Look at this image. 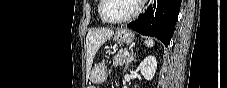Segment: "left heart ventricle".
I'll return each mask as SVG.
<instances>
[{
	"label": "left heart ventricle",
	"instance_id": "b2bd125f",
	"mask_svg": "<svg viewBox=\"0 0 227 88\" xmlns=\"http://www.w3.org/2000/svg\"><path fill=\"white\" fill-rule=\"evenodd\" d=\"M136 6V0H106L103 13L108 19H121L130 15Z\"/></svg>",
	"mask_w": 227,
	"mask_h": 88
}]
</instances>
